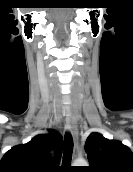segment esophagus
Here are the masks:
<instances>
[{
	"label": "esophagus",
	"instance_id": "34e87169",
	"mask_svg": "<svg viewBox=\"0 0 133 172\" xmlns=\"http://www.w3.org/2000/svg\"><path fill=\"white\" fill-rule=\"evenodd\" d=\"M67 126L68 129L73 137L74 140V155L77 153V144H78V129L76 126L75 121L73 120V118L71 116H67Z\"/></svg>",
	"mask_w": 133,
	"mask_h": 172
}]
</instances>
